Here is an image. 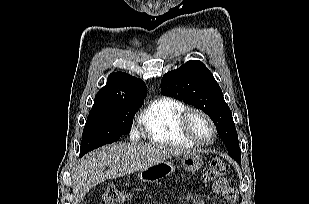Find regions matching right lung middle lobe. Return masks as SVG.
Returning a JSON list of instances; mask_svg holds the SVG:
<instances>
[{
  "label": "right lung middle lobe",
  "mask_w": 309,
  "mask_h": 204,
  "mask_svg": "<svg viewBox=\"0 0 309 204\" xmlns=\"http://www.w3.org/2000/svg\"><path fill=\"white\" fill-rule=\"evenodd\" d=\"M143 102L144 98L122 99L93 105L83 130L80 156L129 133L133 117Z\"/></svg>",
  "instance_id": "dd1d6c3e"
}]
</instances>
